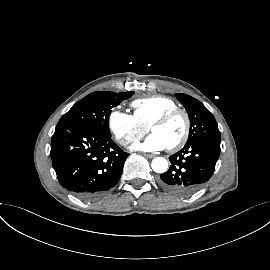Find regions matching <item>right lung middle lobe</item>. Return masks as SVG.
<instances>
[{
	"label": "right lung middle lobe",
	"mask_w": 270,
	"mask_h": 270,
	"mask_svg": "<svg viewBox=\"0 0 270 270\" xmlns=\"http://www.w3.org/2000/svg\"><path fill=\"white\" fill-rule=\"evenodd\" d=\"M134 92H93L77 102L59 120L56 127L84 126L111 136L109 116L112 108L130 98Z\"/></svg>",
	"instance_id": "obj_1"
}]
</instances>
